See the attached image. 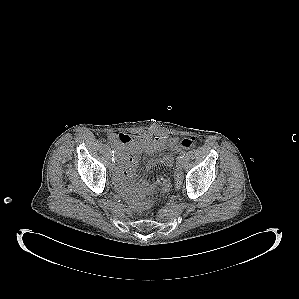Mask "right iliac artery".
Segmentation results:
<instances>
[{"label": "right iliac artery", "mask_w": 299, "mask_h": 299, "mask_svg": "<svg viewBox=\"0 0 299 299\" xmlns=\"http://www.w3.org/2000/svg\"><path fill=\"white\" fill-rule=\"evenodd\" d=\"M112 153H113V154H112V156H113L112 159L115 160V157H114V156H115V155H114V151H112ZM114 162H115V161H114Z\"/></svg>", "instance_id": "right-iliac-artery-1"}]
</instances>
